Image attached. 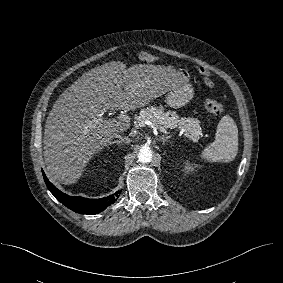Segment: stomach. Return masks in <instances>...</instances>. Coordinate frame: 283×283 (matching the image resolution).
<instances>
[{
	"label": "stomach",
	"instance_id": "0dacf381",
	"mask_svg": "<svg viewBox=\"0 0 283 283\" xmlns=\"http://www.w3.org/2000/svg\"><path fill=\"white\" fill-rule=\"evenodd\" d=\"M194 96V89L186 79L175 84L166 95V103L171 108H180L188 104Z\"/></svg>",
	"mask_w": 283,
	"mask_h": 283
}]
</instances>
